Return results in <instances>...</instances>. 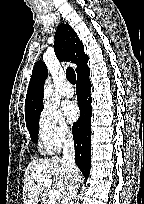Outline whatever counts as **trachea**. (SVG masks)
<instances>
[{
	"instance_id": "3493384b",
	"label": "trachea",
	"mask_w": 144,
	"mask_h": 204,
	"mask_svg": "<svg viewBox=\"0 0 144 204\" xmlns=\"http://www.w3.org/2000/svg\"><path fill=\"white\" fill-rule=\"evenodd\" d=\"M66 78L68 79V81L72 84L76 83V74L75 71L73 70V68L68 67L66 69Z\"/></svg>"
}]
</instances>
